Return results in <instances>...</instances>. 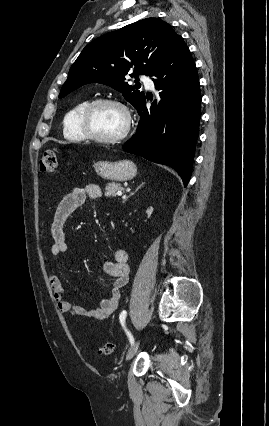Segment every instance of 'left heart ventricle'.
<instances>
[{
	"label": "left heart ventricle",
	"mask_w": 269,
	"mask_h": 426,
	"mask_svg": "<svg viewBox=\"0 0 269 426\" xmlns=\"http://www.w3.org/2000/svg\"><path fill=\"white\" fill-rule=\"evenodd\" d=\"M125 124L122 111L111 105L96 107L91 113L89 125L93 133L101 137H113L121 132Z\"/></svg>",
	"instance_id": "obj_1"
}]
</instances>
